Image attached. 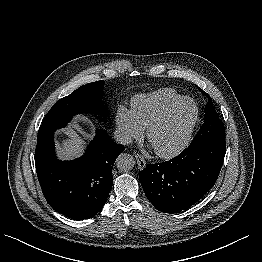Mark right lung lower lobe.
<instances>
[{
    "mask_svg": "<svg viewBox=\"0 0 262 262\" xmlns=\"http://www.w3.org/2000/svg\"><path fill=\"white\" fill-rule=\"evenodd\" d=\"M67 123L41 125L35 151V165L43 195L58 213L83 220L96 215L107 201L116 158L124 151L103 129L86 153L73 161H60L54 155L53 134Z\"/></svg>",
    "mask_w": 262,
    "mask_h": 262,
    "instance_id": "right-lung-lower-lobe-1",
    "label": "right lung lower lobe"
}]
</instances>
